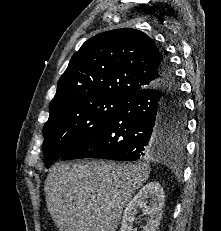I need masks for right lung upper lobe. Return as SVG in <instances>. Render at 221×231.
I'll list each match as a JSON object with an SVG mask.
<instances>
[{
    "instance_id": "obj_1",
    "label": "right lung upper lobe",
    "mask_w": 221,
    "mask_h": 231,
    "mask_svg": "<svg viewBox=\"0 0 221 231\" xmlns=\"http://www.w3.org/2000/svg\"><path fill=\"white\" fill-rule=\"evenodd\" d=\"M163 53L142 31L123 28L87 40L60 77L50 103V115L90 96L127 99L161 78Z\"/></svg>"
}]
</instances>
